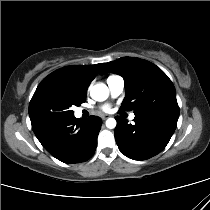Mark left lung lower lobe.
<instances>
[{
    "mask_svg": "<svg viewBox=\"0 0 210 210\" xmlns=\"http://www.w3.org/2000/svg\"><path fill=\"white\" fill-rule=\"evenodd\" d=\"M114 131L119 150L134 160L149 159L160 153L173 135L178 118L161 115L135 116L134 125L116 116Z\"/></svg>",
    "mask_w": 210,
    "mask_h": 210,
    "instance_id": "left-lung-lower-lobe-1",
    "label": "left lung lower lobe"
}]
</instances>
